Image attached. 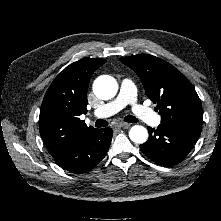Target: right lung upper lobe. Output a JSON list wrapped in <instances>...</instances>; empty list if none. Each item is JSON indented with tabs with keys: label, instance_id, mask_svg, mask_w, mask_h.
<instances>
[{
	"label": "right lung upper lobe",
	"instance_id": "cb5924a9",
	"mask_svg": "<svg viewBox=\"0 0 221 221\" xmlns=\"http://www.w3.org/2000/svg\"><path fill=\"white\" fill-rule=\"evenodd\" d=\"M106 62L83 58L66 67L48 88L40 109L39 131L56 158L83 140L93 127L80 120L87 113V90L94 71Z\"/></svg>",
	"mask_w": 221,
	"mask_h": 221
}]
</instances>
